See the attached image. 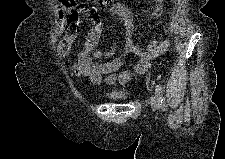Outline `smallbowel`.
<instances>
[{
  "mask_svg": "<svg viewBox=\"0 0 225 159\" xmlns=\"http://www.w3.org/2000/svg\"><path fill=\"white\" fill-rule=\"evenodd\" d=\"M161 4L155 10L157 16L161 12ZM110 11L124 25L125 48L121 56L113 58L118 44H114L108 50L98 49V43L102 32V20L91 4L60 5L54 7L55 29L52 34L53 40H58V53L61 56L67 55L72 44L77 38L80 17L86 16L90 20L92 27L88 31L83 49L78 52L80 63L71 66V70L76 77H87L95 85L103 82L113 84L115 82L127 83L133 77L144 74L150 65V61L166 53L170 46L169 39H155L143 51L134 36L131 12L120 4L110 7ZM129 55L138 57L135 65L119 74L116 71L122 66Z\"/></svg>",
  "mask_w": 225,
  "mask_h": 159,
  "instance_id": "obj_1",
  "label": "small bowel"
}]
</instances>
